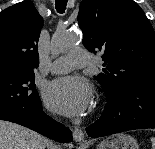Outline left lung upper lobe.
<instances>
[{
    "instance_id": "5c2ea615",
    "label": "left lung upper lobe",
    "mask_w": 155,
    "mask_h": 149,
    "mask_svg": "<svg viewBox=\"0 0 155 149\" xmlns=\"http://www.w3.org/2000/svg\"><path fill=\"white\" fill-rule=\"evenodd\" d=\"M78 22L83 45L103 54L104 73L95 78L107 94L155 79L154 30L133 0H82Z\"/></svg>"
}]
</instances>
